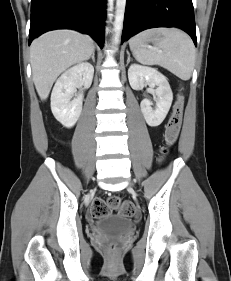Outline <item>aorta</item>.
Returning a JSON list of instances; mask_svg holds the SVG:
<instances>
[{
	"instance_id": "aorta-1",
	"label": "aorta",
	"mask_w": 231,
	"mask_h": 281,
	"mask_svg": "<svg viewBox=\"0 0 231 281\" xmlns=\"http://www.w3.org/2000/svg\"><path fill=\"white\" fill-rule=\"evenodd\" d=\"M126 1L127 0H116L115 21H114V29H113L114 31L113 44L115 45V49L119 43L121 32H122Z\"/></svg>"
}]
</instances>
